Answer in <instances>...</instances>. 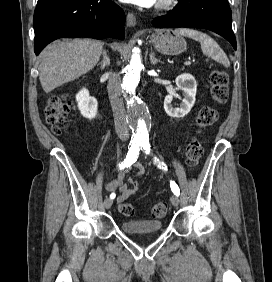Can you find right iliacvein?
<instances>
[{"label": "right iliac vein", "instance_id": "obj_1", "mask_svg": "<svg viewBox=\"0 0 272 282\" xmlns=\"http://www.w3.org/2000/svg\"><path fill=\"white\" fill-rule=\"evenodd\" d=\"M112 204H113L112 199H109V198L105 199V201H104V206H105L107 209H109V208L112 206Z\"/></svg>", "mask_w": 272, "mask_h": 282}]
</instances>
